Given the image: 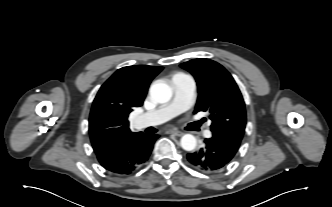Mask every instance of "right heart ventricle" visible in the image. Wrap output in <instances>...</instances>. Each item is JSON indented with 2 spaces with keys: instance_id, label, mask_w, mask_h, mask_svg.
Here are the masks:
<instances>
[{
  "instance_id": "e07e8e85",
  "label": "right heart ventricle",
  "mask_w": 332,
  "mask_h": 207,
  "mask_svg": "<svg viewBox=\"0 0 332 207\" xmlns=\"http://www.w3.org/2000/svg\"><path fill=\"white\" fill-rule=\"evenodd\" d=\"M176 76H186V74L178 73V74H176L174 77H176ZM174 77H173V78H174Z\"/></svg>"
}]
</instances>
